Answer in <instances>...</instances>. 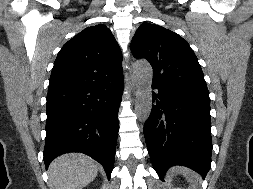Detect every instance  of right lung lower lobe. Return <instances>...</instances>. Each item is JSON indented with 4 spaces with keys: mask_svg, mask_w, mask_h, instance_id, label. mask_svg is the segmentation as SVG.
I'll return each instance as SVG.
<instances>
[{
    "mask_svg": "<svg viewBox=\"0 0 253 189\" xmlns=\"http://www.w3.org/2000/svg\"><path fill=\"white\" fill-rule=\"evenodd\" d=\"M123 74L109 81L48 90L44 162L81 152L101 163L110 178L118 135Z\"/></svg>",
    "mask_w": 253,
    "mask_h": 189,
    "instance_id": "1",
    "label": "right lung lower lobe"
}]
</instances>
